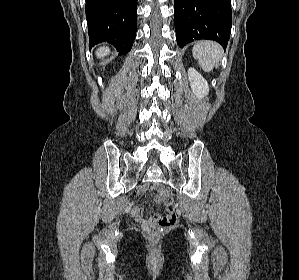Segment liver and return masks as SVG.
<instances>
[{
    "label": "liver",
    "instance_id": "obj_1",
    "mask_svg": "<svg viewBox=\"0 0 299 280\" xmlns=\"http://www.w3.org/2000/svg\"><path fill=\"white\" fill-rule=\"evenodd\" d=\"M110 53V50L108 47H100L98 50H97V57L98 58H102L106 55H108Z\"/></svg>",
    "mask_w": 299,
    "mask_h": 280
}]
</instances>
